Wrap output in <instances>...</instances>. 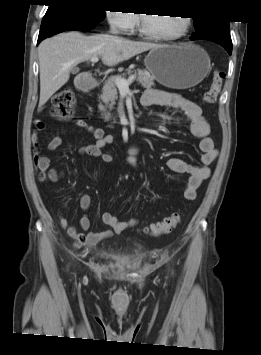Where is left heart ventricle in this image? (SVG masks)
I'll use <instances>...</instances> for the list:
<instances>
[{"label":"left heart ventricle","mask_w":261,"mask_h":355,"mask_svg":"<svg viewBox=\"0 0 261 355\" xmlns=\"http://www.w3.org/2000/svg\"><path fill=\"white\" fill-rule=\"evenodd\" d=\"M145 23L149 30L163 35H174L183 28L181 17L154 15L148 13L144 15Z\"/></svg>","instance_id":"1"}]
</instances>
